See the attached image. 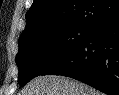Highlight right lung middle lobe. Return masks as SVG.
I'll list each match as a JSON object with an SVG mask.
<instances>
[{
	"instance_id": "1",
	"label": "right lung middle lobe",
	"mask_w": 119,
	"mask_h": 95,
	"mask_svg": "<svg viewBox=\"0 0 119 95\" xmlns=\"http://www.w3.org/2000/svg\"><path fill=\"white\" fill-rule=\"evenodd\" d=\"M91 31L80 25H64L48 27L38 33L20 37L19 53L16 56L20 86L42 75Z\"/></svg>"
}]
</instances>
